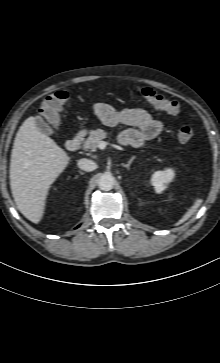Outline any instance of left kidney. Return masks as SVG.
<instances>
[{
  "instance_id": "5707ae66",
  "label": "left kidney",
  "mask_w": 220,
  "mask_h": 363,
  "mask_svg": "<svg viewBox=\"0 0 220 363\" xmlns=\"http://www.w3.org/2000/svg\"><path fill=\"white\" fill-rule=\"evenodd\" d=\"M173 177L174 171L172 169L154 172L151 177V184L154 186L155 192L162 193Z\"/></svg>"
}]
</instances>
